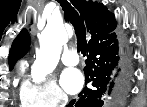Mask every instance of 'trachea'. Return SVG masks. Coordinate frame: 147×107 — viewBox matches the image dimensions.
<instances>
[{"label":"trachea","instance_id":"obj_1","mask_svg":"<svg viewBox=\"0 0 147 107\" xmlns=\"http://www.w3.org/2000/svg\"><path fill=\"white\" fill-rule=\"evenodd\" d=\"M58 2L64 11L65 18L68 19L74 27L77 37V50L85 56L87 50V41L84 20L79 17L78 12L67 0H59Z\"/></svg>","mask_w":147,"mask_h":107}]
</instances>
